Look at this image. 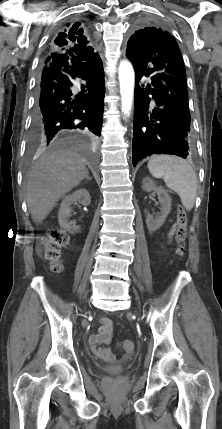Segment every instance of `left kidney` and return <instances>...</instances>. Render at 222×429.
Returning <instances> with one entry per match:
<instances>
[{"mask_svg":"<svg viewBox=\"0 0 222 429\" xmlns=\"http://www.w3.org/2000/svg\"><path fill=\"white\" fill-rule=\"evenodd\" d=\"M142 189L146 192H150L154 190L157 193L158 200L161 204V213L156 218H153V216H151L147 211H145V213L147 214V217H146L147 228L150 232H154L164 224L166 217L171 211L172 199L169 196L168 192L162 187H157L154 184L153 180H151V178L147 177L143 179Z\"/></svg>","mask_w":222,"mask_h":429,"instance_id":"obj_1","label":"left kidney"}]
</instances>
